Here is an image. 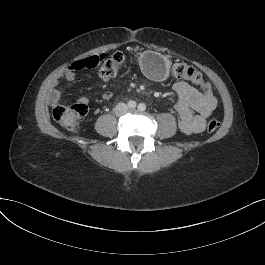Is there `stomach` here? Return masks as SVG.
<instances>
[{
  "mask_svg": "<svg viewBox=\"0 0 265 265\" xmlns=\"http://www.w3.org/2000/svg\"><path fill=\"white\" fill-rule=\"evenodd\" d=\"M142 72L150 79L164 81L169 76V60L156 52L145 51L137 58Z\"/></svg>",
  "mask_w": 265,
  "mask_h": 265,
  "instance_id": "0dacf381",
  "label": "stomach"
}]
</instances>
